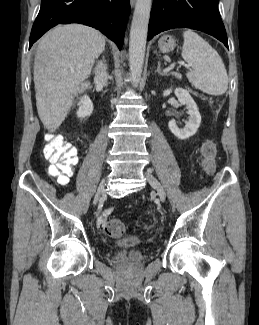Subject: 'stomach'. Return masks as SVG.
<instances>
[{"mask_svg":"<svg viewBox=\"0 0 259 325\" xmlns=\"http://www.w3.org/2000/svg\"><path fill=\"white\" fill-rule=\"evenodd\" d=\"M159 50L162 53H169L176 47V40L170 35H163L158 41Z\"/></svg>","mask_w":259,"mask_h":325,"instance_id":"1","label":"stomach"}]
</instances>
